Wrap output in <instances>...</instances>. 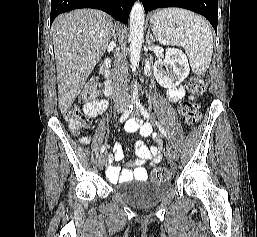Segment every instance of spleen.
Instances as JSON below:
<instances>
[{
    "label": "spleen",
    "mask_w": 257,
    "mask_h": 237,
    "mask_svg": "<svg viewBox=\"0 0 257 237\" xmlns=\"http://www.w3.org/2000/svg\"><path fill=\"white\" fill-rule=\"evenodd\" d=\"M152 31L163 45L182 46L192 71H207L213 52V35L207 22L191 11L168 8L157 11L151 18Z\"/></svg>",
    "instance_id": "obj_1"
}]
</instances>
